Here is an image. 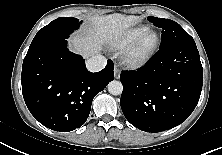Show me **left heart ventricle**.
I'll return each mask as SVG.
<instances>
[{
  "mask_svg": "<svg viewBox=\"0 0 222 155\" xmlns=\"http://www.w3.org/2000/svg\"><path fill=\"white\" fill-rule=\"evenodd\" d=\"M152 41H153V38H149L146 42V46L150 45L152 43Z\"/></svg>",
  "mask_w": 222,
  "mask_h": 155,
  "instance_id": "left-heart-ventricle-1",
  "label": "left heart ventricle"
}]
</instances>
